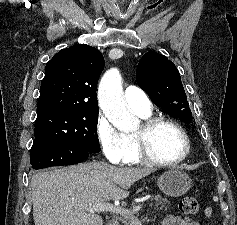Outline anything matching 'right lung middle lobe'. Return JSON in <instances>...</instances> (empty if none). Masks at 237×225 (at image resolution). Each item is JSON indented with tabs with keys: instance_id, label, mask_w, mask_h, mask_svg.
Wrapping results in <instances>:
<instances>
[{
	"instance_id": "1",
	"label": "right lung middle lobe",
	"mask_w": 237,
	"mask_h": 225,
	"mask_svg": "<svg viewBox=\"0 0 237 225\" xmlns=\"http://www.w3.org/2000/svg\"><path fill=\"white\" fill-rule=\"evenodd\" d=\"M99 112L72 113L36 120L35 140L60 142L75 148L100 152L97 137Z\"/></svg>"
}]
</instances>
